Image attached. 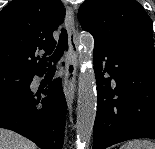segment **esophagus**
<instances>
[{
    "instance_id": "obj_1",
    "label": "esophagus",
    "mask_w": 155,
    "mask_h": 149,
    "mask_svg": "<svg viewBox=\"0 0 155 149\" xmlns=\"http://www.w3.org/2000/svg\"><path fill=\"white\" fill-rule=\"evenodd\" d=\"M65 25L68 32L69 53L66 56L64 93L66 96L68 107H71L76 91L78 40L74 23L73 9L68 5L66 6Z\"/></svg>"
}]
</instances>
